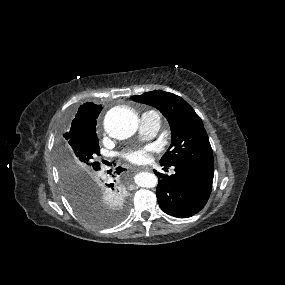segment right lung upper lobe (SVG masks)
Masks as SVG:
<instances>
[{"label":"right lung upper lobe","instance_id":"obj_1","mask_svg":"<svg viewBox=\"0 0 285 285\" xmlns=\"http://www.w3.org/2000/svg\"><path fill=\"white\" fill-rule=\"evenodd\" d=\"M102 110L101 105L88 102L79 107L68 132L63 136L67 140L88 137L96 134V119Z\"/></svg>","mask_w":285,"mask_h":285}]
</instances>
